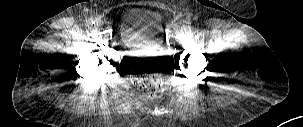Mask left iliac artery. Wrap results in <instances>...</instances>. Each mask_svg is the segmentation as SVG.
I'll return each mask as SVG.
<instances>
[{
  "mask_svg": "<svg viewBox=\"0 0 303 127\" xmlns=\"http://www.w3.org/2000/svg\"><path fill=\"white\" fill-rule=\"evenodd\" d=\"M192 32H193V33H196V32H197V30H196V29H193V30H192Z\"/></svg>",
  "mask_w": 303,
  "mask_h": 127,
  "instance_id": "44dca946",
  "label": "left iliac artery"
}]
</instances>
